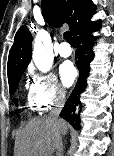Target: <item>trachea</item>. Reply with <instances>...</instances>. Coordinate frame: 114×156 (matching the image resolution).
Returning <instances> with one entry per match:
<instances>
[{
  "label": "trachea",
  "instance_id": "obj_1",
  "mask_svg": "<svg viewBox=\"0 0 114 156\" xmlns=\"http://www.w3.org/2000/svg\"><path fill=\"white\" fill-rule=\"evenodd\" d=\"M64 39H65L68 43H70L71 45L74 44L73 37H72V35H71V33H70L69 31H66V32L64 33Z\"/></svg>",
  "mask_w": 114,
  "mask_h": 156
}]
</instances>
